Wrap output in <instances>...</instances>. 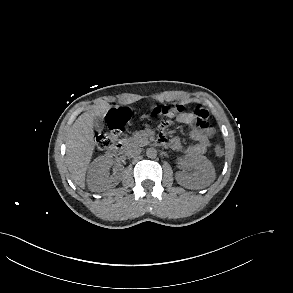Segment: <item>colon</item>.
<instances>
[{"label":"colon","mask_w":293,"mask_h":293,"mask_svg":"<svg viewBox=\"0 0 293 293\" xmlns=\"http://www.w3.org/2000/svg\"><path fill=\"white\" fill-rule=\"evenodd\" d=\"M184 106L181 104H169L164 106H158L155 108V113L162 118H165L166 121L159 125L160 138L166 136V129L169 126V119L178 116L183 113ZM128 111L125 108L111 110L106 115L107 128L98 132L96 136L97 146L100 149H109L117 141L120 136L126 121L128 120ZM194 115L199 119L200 122L205 124L206 119L208 118V111L203 107H197L194 110ZM215 155L220 157L223 155V147L217 144L214 148Z\"/></svg>","instance_id":"colon-1"}]
</instances>
